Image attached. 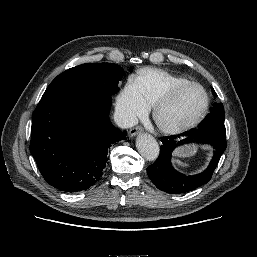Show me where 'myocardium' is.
I'll return each instance as SVG.
<instances>
[{
	"label": "myocardium",
	"mask_w": 257,
	"mask_h": 257,
	"mask_svg": "<svg viewBox=\"0 0 257 257\" xmlns=\"http://www.w3.org/2000/svg\"><path fill=\"white\" fill-rule=\"evenodd\" d=\"M189 87H198L202 90L204 94V104L198 114L192 118L191 120L181 123V124H168L163 121L161 118L162 110L169 105L175 97L183 90ZM210 99L206 89L197 82H186L180 85H177L171 88L163 97H161L156 104L154 105L153 109V118L157 124V126L166 134L169 135H176L187 132L192 128L196 127L206 116L208 109H209Z\"/></svg>",
	"instance_id": "myocardium-1"
}]
</instances>
